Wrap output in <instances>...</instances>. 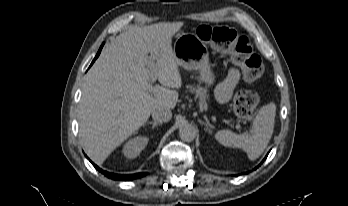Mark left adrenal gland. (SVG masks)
I'll return each instance as SVG.
<instances>
[{"label": "left adrenal gland", "mask_w": 348, "mask_h": 206, "mask_svg": "<svg viewBox=\"0 0 348 206\" xmlns=\"http://www.w3.org/2000/svg\"><path fill=\"white\" fill-rule=\"evenodd\" d=\"M199 123L205 126V130L206 131H208L210 134L212 133V130H211V128H210L208 123H205V122H203L201 120H199Z\"/></svg>", "instance_id": "obj_1"}]
</instances>
